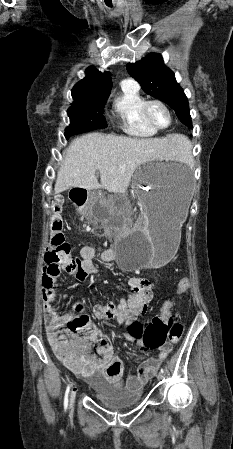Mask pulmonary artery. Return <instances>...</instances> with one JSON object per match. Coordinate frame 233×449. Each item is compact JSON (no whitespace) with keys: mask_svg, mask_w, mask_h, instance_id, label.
<instances>
[{"mask_svg":"<svg viewBox=\"0 0 233 449\" xmlns=\"http://www.w3.org/2000/svg\"><path fill=\"white\" fill-rule=\"evenodd\" d=\"M123 82L133 83V84H135V85H136V83H134V82H133V81H131V80H124Z\"/></svg>","mask_w":233,"mask_h":449,"instance_id":"obj_1","label":"pulmonary artery"}]
</instances>
